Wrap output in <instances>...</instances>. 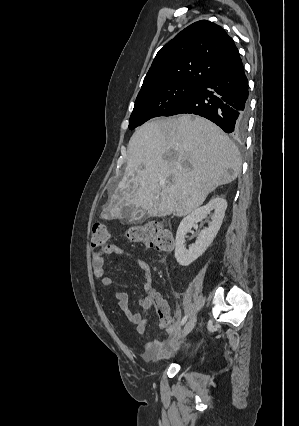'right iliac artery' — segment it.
<instances>
[{"mask_svg": "<svg viewBox=\"0 0 299 426\" xmlns=\"http://www.w3.org/2000/svg\"><path fill=\"white\" fill-rule=\"evenodd\" d=\"M187 319H188V315H185L181 320L180 326L184 325L186 323Z\"/></svg>", "mask_w": 299, "mask_h": 426, "instance_id": "obj_1", "label": "right iliac artery"}]
</instances>
